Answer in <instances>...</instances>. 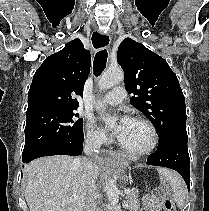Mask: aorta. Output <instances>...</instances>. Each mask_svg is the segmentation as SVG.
I'll return each instance as SVG.
<instances>
[{"instance_id":"762f6f07","label":"aorta","mask_w":209,"mask_h":211,"mask_svg":"<svg viewBox=\"0 0 209 211\" xmlns=\"http://www.w3.org/2000/svg\"><path fill=\"white\" fill-rule=\"evenodd\" d=\"M124 79L123 70L120 68L116 69H108L103 72L98 79V87L101 90L109 89L119 83H121ZM97 109L104 112L105 108L102 104L97 105ZM111 124V123H110ZM109 202L112 206H116L119 202V190L116 185V182L112 179H108L106 181V185L104 188Z\"/></svg>"}]
</instances>
